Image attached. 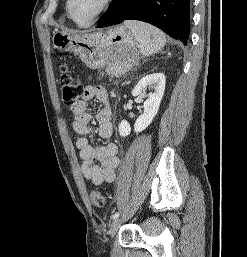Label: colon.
<instances>
[{
    "mask_svg": "<svg viewBox=\"0 0 247 257\" xmlns=\"http://www.w3.org/2000/svg\"><path fill=\"white\" fill-rule=\"evenodd\" d=\"M60 87L62 90L63 100L66 103H74L80 97L82 92L81 83L71 74L67 65L63 64L60 67ZM90 198L94 206L103 207L105 204V197L100 190L92 189L90 191Z\"/></svg>",
    "mask_w": 247,
    "mask_h": 257,
    "instance_id": "obj_1",
    "label": "colon"
}]
</instances>
